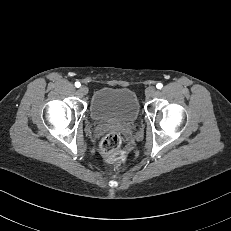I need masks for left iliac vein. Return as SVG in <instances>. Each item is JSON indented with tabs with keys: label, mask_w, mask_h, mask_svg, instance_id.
I'll list each match as a JSON object with an SVG mask.
<instances>
[{
	"label": "left iliac vein",
	"mask_w": 231,
	"mask_h": 231,
	"mask_svg": "<svg viewBox=\"0 0 231 231\" xmlns=\"http://www.w3.org/2000/svg\"><path fill=\"white\" fill-rule=\"evenodd\" d=\"M157 89L154 86H150L145 90V95L147 97H152L156 94Z\"/></svg>",
	"instance_id": "1"
}]
</instances>
